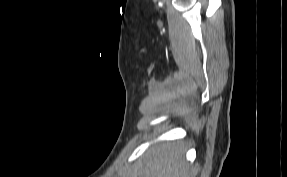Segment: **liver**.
Returning <instances> with one entry per match:
<instances>
[{
	"instance_id": "liver-1",
	"label": "liver",
	"mask_w": 287,
	"mask_h": 177,
	"mask_svg": "<svg viewBox=\"0 0 287 177\" xmlns=\"http://www.w3.org/2000/svg\"><path fill=\"white\" fill-rule=\"evenodd\" d=\"M186 150L184 142L151 147L141 161L139 177H193L192 169L184 159Z\"/></svg>"
}]
</instances>
